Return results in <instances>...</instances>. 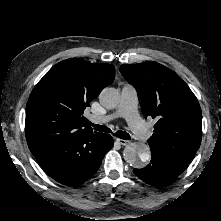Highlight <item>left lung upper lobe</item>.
I'll use <instances>...</instances> for the list:
<instances>
[{"instance_id":"1","label":"left lung upper lobe","mask_w":221,"mask_h":221,"mask_svg":"<svg viewBox=\"0 0 221 221\" xmlns=\"http://www.w3.org/2000/svg\"><path fill=\"white\" fill-rule=\"evenodd\" d=\"M120 72L136 88L144 117L157 120L148 141L151 151L186 167L202 137V113L193 92L173 71L154 61L121 65Z\"/></svg>"}]
</instances>
